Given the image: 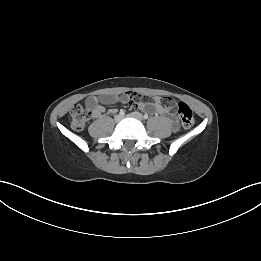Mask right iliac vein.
<instances>
[{"instance_id":"63e3f726","label":"right iliac vein","mask_w":261,"mask_h":261,"mask_svg":"<svg viewBox=\"0 0 261 261\" xmlns=\"http://www.w3.org/2000/svg\"><path fill=\"white\" fill-rule=\"evenodd\" d=\"M122 116L121 115H116L115 117H114V120H115V122H119V121H121L122 120Z\"/></svg>"}]
</instances>
